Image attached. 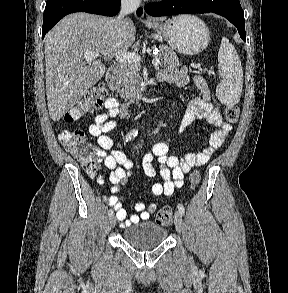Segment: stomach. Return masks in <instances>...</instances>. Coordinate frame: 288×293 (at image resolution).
Listing matches in <instances>:
<instances>
[{
  "label": "stomach",
  "mask_w": 288,
  "mask_h": 293,
  "mask_svg": "<svg viewBox=\"0 0 288 293\" xmlns=\"http://www.w3.org/2000/svg\"><path fill=\"white\" fill-rule=\"evenodd\" d=\"M151 27L183 55L191 56L202 52L210 41L207 25L193 15H180L164 23H154Z\"/></svg>",
  "instance_id": "obj_1"
}]
</instances>
